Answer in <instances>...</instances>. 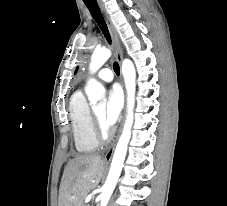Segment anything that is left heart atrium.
Instances as JSON below:
<instances>
[{
	"label": "left heart atrium",
	"mask_w": 227,
	"mask_h": 206,
	"mask_svg": "<svg viewBox=\"0 0 227 206\" xmlns=\"http://www.w3.org/2000/svg\"><path fill=\"white\" fill-rule=\"evenodd\" d=\"M123 107V94L119 87L115 86L108 92L106 108L104 110L102 124L106 129L113 126L119 119Z\"/></svg>",
	"instance_id": "39dd6f15"
}]
</instances>
